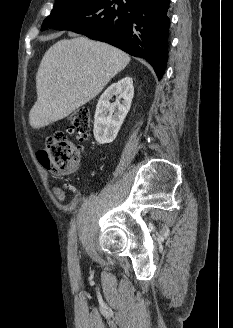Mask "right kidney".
Returning <instances> with one entry per match:
<instances>
[{"label": "right kidney", "instance_id": "1", "mask_svg": "<svg viewBox=\"0 0 233 328\" xmlns=\"http://www.w3.org/2000/svg\"><path fill=\"white\" fill-rule=\"evenodd\" d=\"M133 95V79L126 76L109 86L100 96L96 106L93 130L95 140L99 144L111 143L116 138L131 107ZM113 96H118V99L111 104L110 100ZM120 99H122L121 103Z\"/></svg>", "mask_w": 233, "mask_h": 328}]
</instances>
